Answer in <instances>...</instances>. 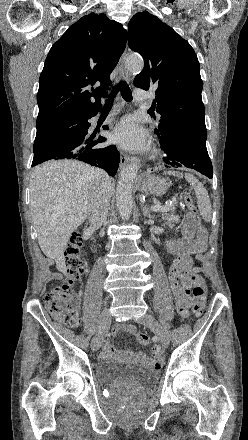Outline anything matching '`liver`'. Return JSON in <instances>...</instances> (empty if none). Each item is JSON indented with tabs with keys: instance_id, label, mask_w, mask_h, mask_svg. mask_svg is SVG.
<instances>
[{
	"instance_id": "1",
	"label": "liver",
	"mask_w": 248,
	"mask_h": 440,
	"mask_svg": "<svg viewBox=\"0 0 248 440\" xmlns=\"http://www.w3.org/2000/svg\"><path fill=\"white\" fill-rule=\"evenodd\" d=\"M76 160H52L30 178V211L42 252L65 272L64 251L71 234L84 223L94 188V171ZM111 182V193H112Z\"/></svg>"
}]
</instances>
